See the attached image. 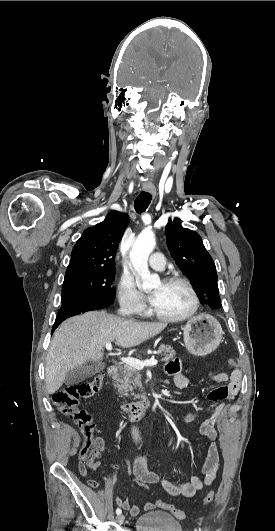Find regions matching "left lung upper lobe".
<instances>
[{
  "label": "left lung upper lobe",
  "mask_w": 275,
  "mask_h": 531,
  "mask_svg": "<svg viewBox=\"0 0 275 531\" xmlns=\"http://www.w3.org/2000/svg\"><path fill=\"white\" fill-rule=\"evenodd\" d=\"M166 239L172 257L191 280L201 304H208L212 309L220 308L216 267L200 235L169 219Z\"/></svg>",
  "instance_id": "left-lung-upper-lobe-1"
}]
</instances>
